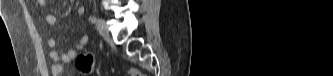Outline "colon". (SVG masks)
<instances>
[{
  "label": "colon",
  "mask_w": 333,
  "mask_h": 76,
  "mask_svg": "<svg viewBox=\"0 0 333 76\" xmlns=\"http://www.w3.org/2000/svg\"><path fill=\"white\" fill-rule=\"evenodd\" d=\"M76 67L83 75H90L93 73L95 68V61L90 54H81L76 59ZM130 76H141V73L132 68L129 71Z\"/></svg>",
  "instance_id": "colon-1"
}]
</instances>
